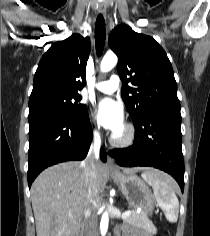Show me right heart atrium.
Returning a JSON list of instances; mask_svg holds the SVG:
<instances>
[{
	"label": "right heart atrium",
	"instance_id": "obj_1",
	"mask_svg": "<svg viewBox=\"0 0 210 236\" xmlns=\"http://www.w3.org/2000/svg\"><path fill=\"white\" fill-rule=\"evenodd\" d=\"M91 131H92V134L95 136V137H99L100 136V125L98 122L92 120L91 121Z\"/></svg>",
	"mask_w": 210,
	"mask_h": 236
}]
</instances>
